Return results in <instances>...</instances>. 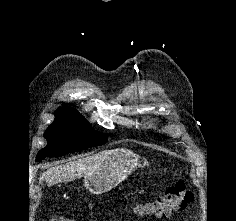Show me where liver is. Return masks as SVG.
I'll list each match as a JSON object with an SVG mask.
<instances>
[{"instance_id": "obj_1", "label": "liver", "mask_w": 236, "mask_h": 221, "mask_svg": "<svg viewBox=\"0 0 236 221\" xmlns=\"http://www.w3.org/2000/svg\"><path fill=\"white\" fill-rule=\"evenodd\" d=\"M110 153L111 151L104 150L92 156L53 166L40 176L39 183L45 180L46 183L51 186L81 178L94 171Z\"/></svg>"}]
</instances>
